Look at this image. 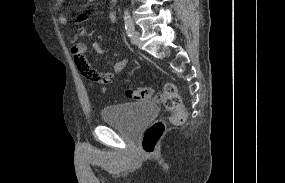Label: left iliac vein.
I'll return each instance as SVG.
<instances>
[{
  "instance_id": "obj_1",
  "label": "left iliac vein",
  "mask_w": 285,
  "mask_h": 183,
  "mask_svg": "<svg viewBox=\"0 0 285 183\" xmlns=\"http://www.w3.org/2000/svg\"><path fill=\"white\" fill-rule=\"evenodd\" d=\"M139 40H140V33L138 31H135L131 36V42L133 44H138Z\"/></svg>"
}]
</instances>
